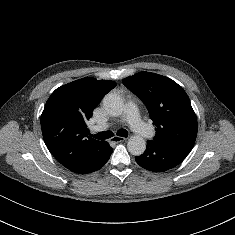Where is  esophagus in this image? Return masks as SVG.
Segmentation results:
<instances>
[{
	"instance_id": "1",
	"label": "esophagus",
	"mask_w": 235,
	"mask_h": 235,
	"mask_svg": "<svg viewBox=\"0 0 235 235\" xmlns=\"http://www.w3.org/2000/svg\"><path fill=\"white\" fill-rule=\"evenodd\" d=\"M124 140H126V138L121 137V136H114L111 138V142L113 143H119V142H123Z\"/></svg>"
}]
</instances>
